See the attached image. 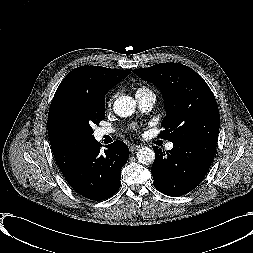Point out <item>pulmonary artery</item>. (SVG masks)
<instances>
[{"label":"pulmonary artery","instance_id":"pulmonary-artery-1","mask_svg":"<svg viewBox=\"0 0 253 253\" xmlns=\"http://www.w3.org/2000/svg\"><path fill=\"white\" fill-rule=\"evenodd\" d=\"M136 99H137V102L139 105V109L141 110V112H143L145 114L151 112V110L153 109L155 102H156V96L153 93H149L146 95H136ZM113 132H114L113 129L102 128L100 130V135L104 136V135H108ZM165 147L167 150H171L173 148V143L169 142L166 144Z\"/></svg>","mask_w":253,"mask_h":253}]
</instances>
